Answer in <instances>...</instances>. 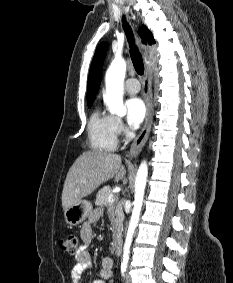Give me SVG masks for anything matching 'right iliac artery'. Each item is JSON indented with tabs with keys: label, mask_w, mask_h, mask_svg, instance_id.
Segmentation results:
<instances>
[{
	"label": "right iliac artery",
	"mask_w": 233,
	"mask_h": 283,
	"mask_svg": "<svg viewBox=\"0 0 233 283\" xmlns=\"http://www.w3.org/2000/svg\"><path fill=\"white\" fill-rule=\"evenodd\" d=\"M125 271H126V266H121V275H122V277H124Z\"/></svg>",
	"instance_id": "1"
}]
</instances>
